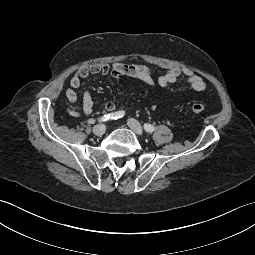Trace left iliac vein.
I'll use <instances>...</instances> for the list:
<instances>
[{
    "mask_svg": "<svg viewBox=\"0 0 255 255\" xmlns=\"http://www.w3.org/2000/svg\"><path fill=\"white\" fill-rule=\"evenodd\" d=\"M128 126L130 127V129L137 134L138 136H142L143 135V129L142 126L140 125V123L135 120V119H129L128 120Z\"/></svg>",
    "mask_w": 255,
    "mask_h": 255,
    "instance_id": "4c4485c4",
    "label": "left iliac vein"
}]
</instances>
